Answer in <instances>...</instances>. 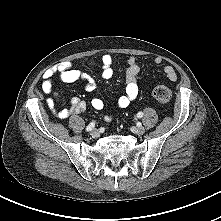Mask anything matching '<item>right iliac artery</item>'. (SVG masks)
Instances as JSON below:
<instances>
[{"mask_svg": "<svg viewBox=\"0 0 221 221\" xmlns=\"http://www.w3.org/2000/svg\"><path fill=\"white\" fill-rule=\"evenodd\" d=\"M95 127V122H91L87 127L86 131H91Z\"/></svg>", "mask_w": 221, "mask_h": 221, "instance_id": "1", "label": "right iliac artery"}]
</instances>
